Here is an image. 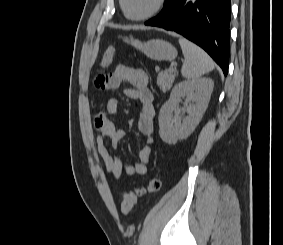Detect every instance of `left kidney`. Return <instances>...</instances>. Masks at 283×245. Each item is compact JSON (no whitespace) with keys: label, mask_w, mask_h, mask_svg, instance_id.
I'll return each instance as SVG.
<instances>
[{"label":"left kidney","mask_w":283,"mask_h":245,"mask_svg":"<svg viewBox=\"0 0 283 245\" xmlns=\"http://www.w3.org/2000/svg\"><path fill=\"white\" fill-rule=\"evenodd\" d=\"M213 87L214 82L210 78L183 81L175 85L169 100L161 107L159 113V134L163 142L174 145L178 140L190 136L208 107ZM184 97L185 112L188 116L181 120L177 114L178 103Z\"/></svg>","instance_id":"1"}]
</instances>
